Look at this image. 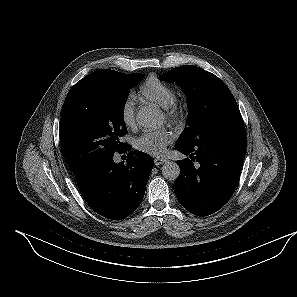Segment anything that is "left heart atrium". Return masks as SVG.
Listing matches in <instances>:
<instances>
[{"label": "left heart atrium", "instance_id": "39dd6f15", "mask_svg": "<svg viewBox=\"0 0 297 297\" xmlns=\"http://www.w3.org/2000/svg\"><path fill=\"white\" fill-rule=\"evenodd\" d=\"M173 140V133L167 128L146 130L135 140L137 149L151 155H161Z\"/></svg>", "mask_w": 297, "mask_h": 297}]
</instances>
